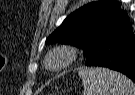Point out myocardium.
Listing matches in <instances>:
<instances>
[{
	"mask_svg": "<svg viewBox=\"0 0 135 95\" xmlns=\"http://www.w3.org/2000/svg\"><path fill=\"white\" fill-rule=\"evenodd\" d=\"M62 56L63 62L57 66H50L49 62L50 60L55 56ZM78 57V51L77 49L72 45H60L55 48H53L46 56L44 60L45 67L51 71H58L62 70L65 67L72 64Z\"/></svg>",
	"mask_w": 135,
	"mask_h": 95,
	"instance_id": "1",
	"label": "myocardium"
}]
</instances>
